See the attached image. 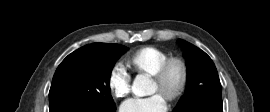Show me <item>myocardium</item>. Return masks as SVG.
<instances>
[{"label": "myocardium", "mask_w": 270, "mask_h": 112, "mask_svg": "<svg viewBox=\"0 0 270 112\" xmlns=\"http://www.w3.org/2000/svg\"><path fill=\"white\" fill-rule=\"evenodd\" d=\"M174 70L178 71V78L172 83L171 75ZM151 76L165 91V98L173 102L179 99L186 90L189 81V68L184 59L171 57Z\"/></svg>", "instance_id": "obj_1"}]
</instances>
